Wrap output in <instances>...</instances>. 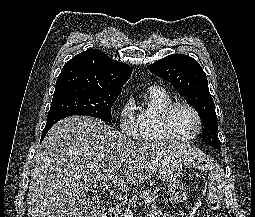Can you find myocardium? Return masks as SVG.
Returning a JSON list of instances; mask_svg holds the SVG:
<instances>
[{"label": "myocardium", "instance_id": "1", "mask_svg": "<svg viewBox=\"0 0 255 217\" xmlns=\"http://www.w3.org/2000/svg\"><path fill=\"white\" fill-rule=\"evenodd\" d=\"M179 106H183V107L190 109L197 118L198 126H197L195 133L192 134L191 136H180L174 132V130L171 126V115H172L173 111ZM160 126H161V130L163 131V133L169 139L181 141V142H188V141L196 139L199 136V134L202 130V127H203V120H202V116H201L200 112L198 111V109L195 106H193L192 104H190L189 102L172 101L167 106H165L163 108V110L161 111Z\"/></svg>", "mask_w": 255, "mask_h": 217}]
</instances>
